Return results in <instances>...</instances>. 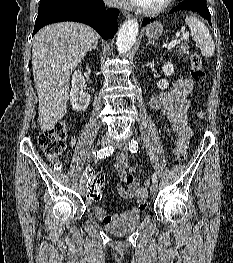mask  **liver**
I'll return each instance as SVG.
<instances>
[{
	"label": "liver",
	"instance_id": "liver-1",
	"mask_svg": "<svg viewBox=\"0 0 233 263\" xmlns=\"http://www.w3.org/2000/svg\"><path fill=\"white\" fill-rule=\"evenodd\" d=\"M97 40L94 29L75 22L47 25L34 36L32 69L42 130L66 114L70 76Z\"/></svg>",
	"mask_w": 233,
	"mask_h": 263
}]
</instances>
